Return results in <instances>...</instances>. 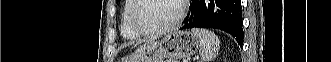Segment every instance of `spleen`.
Listing matches in <instances>:
<instances>
[{"mask_svg": "<svg viewBox=\"0 0 331 62\" xmlns=\"http://www.w3.org/2000/svg\"><path fill=\"white\" fill-rule=\"evenodd\" d=\"M192 33L200 39V56L203 62L213 60L219 51L220 40L211 31L206 29H192Z\"/></svg>", "mask_w": 331, "mask_h": 62, "instance_id": "3e777b00", "label": "spleen"}]
</instances>
